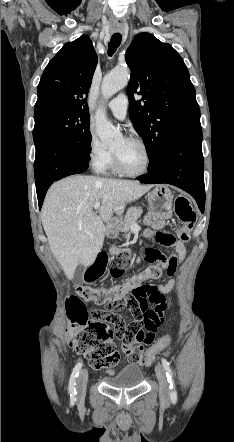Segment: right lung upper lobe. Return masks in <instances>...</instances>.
Wrapping results in <instances>:
<instances>
[{
    "label": "right lung upper lobe",
    "instance_id": "cb5924a9",
    "mask_svg": "<svg viewBox=\"0 0 234 442\" xmlns=\"http://www.w3.org/2000/svg\"><path fill=\"white\" fill-rule=\"evenodd\" d=\"M97 65L92 41L83 35L50 60L38 85L34 116L61 110H88L87 94Z\"/></svg>",
    "mask_w": 234,
    "mask_h": 442
}]
</instances>
